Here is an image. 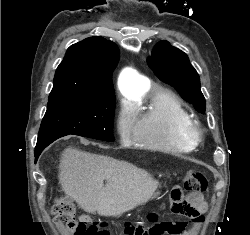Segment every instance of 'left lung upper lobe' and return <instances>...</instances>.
<instances>
[{"label": "left lung upper lobe", "mask_w": 250, "mask_h": 235, "mask_svg": "<svg viewBox=\"0 0 250 235\" xmlns=\"http://www.w3.org/2000/svg\"><path fill=\"white\" fill-rule=\"evenodd\" d=\"M150 68L165 83L173 86L184 100L202 112L205 98L200 90V78L187 55L167 41L159 42L147 60Z\"/></svg>", "instance_id": "1"}]
</instances>
